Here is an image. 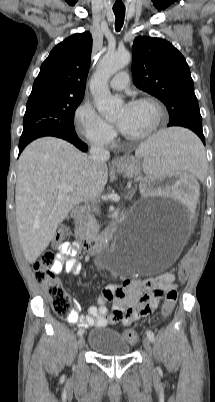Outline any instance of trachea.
Instances as JSON below:
<instances>
[{
    "label": "trachea",
    "instance_id": "1",
    "mask_svg": "<svg viewBox=\"0 0 215 402\" xmlns=\"http://www.w3.org/2000/svg\"><path fill=\"white\" fill-rule=\"evenodd\" d=\"M115 14V30L118 32L121 30L124 24L125 9H113Z\"/></svg>",
    "mask_w": 215,
    "mask_h": 402
}]
</instances>
